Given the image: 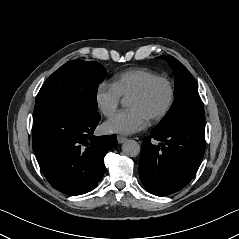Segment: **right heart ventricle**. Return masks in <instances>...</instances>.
I'll use <instances>...</instances> for the list:
<instances>
[{"instance_id": "1", "label": "right heart ventricle", "mask_w": 239, "mask_h": 239, "mask_svg": "<svg viewBox=\"0 0 239 239\" xmlns=\"http://www.w3.org/2000/svg\"><path fill=\"white\" fill-rule=\"evenodd\" d=\"M158 77L154 72L145 69H132L120 74L114 86L120 96L128 99L133 93L142 88L149 80Z\"/></svg>"}]
</instances>
